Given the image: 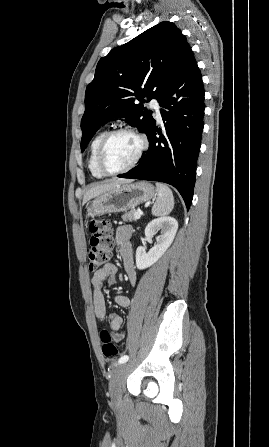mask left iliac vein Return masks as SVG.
I'll use <instances>...</instances> for the list:
<instances>
[{
  "mask_svg": "<svg viewBox=\"0 0 269 447\" xmlns=\"http://www.w3.org/2000/svg\"><path fill=\"white\" fill-rule=\"evenodd\" d=\"M128 364H120L113 372L112 378L109 384V392L112 403L117 405L122 399V381L127 373Z\"/></svg>",
  "mask_w": 269,
  "mask_h": 447,
  "instance_id": "obj_1",
  "label": "left iliac vein"
}]
</instances>
